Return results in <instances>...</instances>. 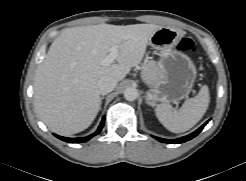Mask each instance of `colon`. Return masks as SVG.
<instances>
[{
  "label": "colon",
  "mask_w": 246,
  "mask_h": 181,
  "mask_svg": "<svg viewBox=\"0 0 246 181\" xmlns=\"http://www.w3.org/2000/svg\"><path fill=\"white\" fill-rule=\"evenodd\" d=\"M193 48V42L188 38H183L178 45V49L182 52L192 51Z\"/></svg>",
  "instance_id": "1"
}]
</instances>
